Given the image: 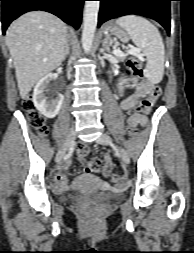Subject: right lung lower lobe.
Listing matches in <instances>:
<instances>
[{
  "mask_svg": "<svg viewBox=\"0 0 194 253\" xmlns=\"http://www.w3.org/2000/svg\"><path fill=\"white\" fill-rule=\"evenodd\" d=\"M2 2V31L21 14L42 10L50 12L76 29L81 23L82 6L85 0H0Z\"/></svg>",
  "mask_w": 194,
  "mask_h": 253,
  "instance_id": "obj_1",
  "label": "right lung lower lobe"
}]
</instances>
